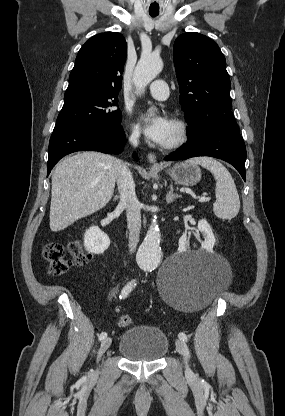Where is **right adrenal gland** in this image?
Returning <instances> with one entry per match:
<instances>
[{"label": "right adrenal gland", "instance_id": "obj_1", "mask_svg": "<svg viewBox=\"0 0 285 416\" xmlns=\"http://www.w3.org/2000/svg\"><path fill=\"white\" fill-rule=\"evenodd\" d=\"M119 196H114L113 200L114 202H116V200H118Z\"/></svg>", "mask_w": 285, "mask_h": 416}]
</instances>
